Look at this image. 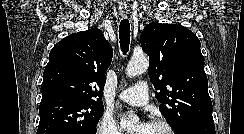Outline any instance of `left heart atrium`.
Returning <instances> with one entry per match:
<instances>
[{
    "mask_svg": "<svg viewBox=\"0 0 244 134\" xmlns=\"http://www.w3.org/2000/svg\"><path fill=\"white\" fill-rule=\"evenodd\" d=\"M149 126L148 123H142L139 127V131H138V134H144L147 127Z\"/></svg>",
    "mask_w": 244,
    "mask_h": 134,
    "instance_id": "1",
    "label": "left heart atrium"
}]
</instances>
